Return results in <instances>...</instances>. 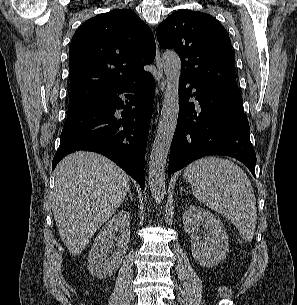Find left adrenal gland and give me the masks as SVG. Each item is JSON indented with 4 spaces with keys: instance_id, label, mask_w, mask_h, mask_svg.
<instances>
[{
    "instance_id": "left-adrenal-gland-1",
    "label": "left adrenal gland",
    "mask_w": 297,
    "mask_h": 305,
    "mask_svg": "<svg viewBox=\"0 0 297 305\" xmlns=\"http://www.w3.org/2000/svg\"><path fill=\"white\" fill-rule=\"evenodd\" d=\"M184 189L183 188H180V195H182V191H183Z\"/></svg>"
}]
</instances>
